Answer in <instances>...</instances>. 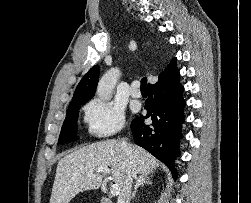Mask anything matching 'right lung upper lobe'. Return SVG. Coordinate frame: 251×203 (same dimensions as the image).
Instances as JSON below:
<instances>
[{"label":"right lung upper lobe","instance_id":"1","mask_svg":"<svg viewBox=\"0 0 251 203\" xmlns=\"http://www.w3.org/2000/svg\"><path fill=\"white\" fill-rule=\"evenodd\" d=\"M176 58H173L167 68L161 72L159 75V79L162 78L164 74L168 72V70L176 64ZM98 76H99V66L92 67L82 78L76 90L74 92V96L72 98L73 103L84 102L90 100L96 91V86L98 83Z\"/></svg>","mask_w":251,"mask_h":203}]
</instances>
